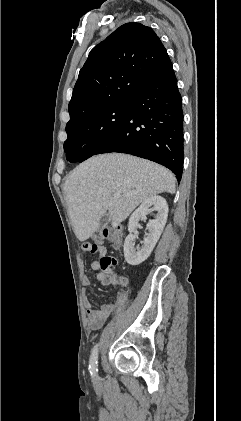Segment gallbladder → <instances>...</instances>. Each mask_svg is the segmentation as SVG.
<instances>
[{
    "label": "gallbladder",
    "mask_w": 241,
    "mask_h": 421,
    "mask_svg": "<svg viewBox=\"0 0 241 421\" xmlns=\"http://www.w3.org/2000/svg\"><path fill=\"white\" fill-rule=\"evenodd\" d=\"M110 220H111L110 219V216L108 214H104L101 217L100 221H99V225H98L97 231L99 232L102 229H104L108 225V223L110 222Z\"/></svg>",
    "instance_id": "1"
}]
</instances>
